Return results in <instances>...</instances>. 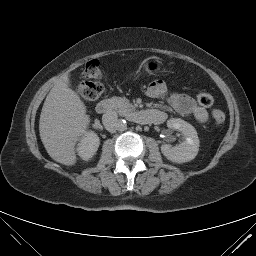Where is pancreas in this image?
Returning <instances> with one entry per match:
<instances>
[{
	"mask_svg": "<svg viewBox=\"0 0 256 256\" xmlns=\"http://www.w3.org/2000/svg\"><path fill=\"white\" fill-rule=\"evenodd\" d=\"M112 101H113V107L122 114L133 111L135 109V106L129 103L128 99L113 97Z\"/></svg>",
	"mask_w": 256,
	"mask_h": 256,
	"instance_id": "obj_1",
	"label": "pancreas"
}]
</instances>
